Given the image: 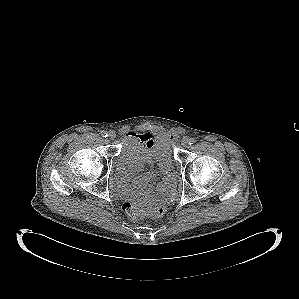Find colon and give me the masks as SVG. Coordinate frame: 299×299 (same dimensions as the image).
I'll list each match as a JSON object with an SVG mask.
<instances>
[{
  "instance_id": "obj_1",
  "label": "colon",
  "mask_w": 299,
  "mask_h": 299,
  "mask_svg": "<svg viewBox=\"0 0 299 299\" xmlns=\"http://www.w3.org/2000/svg\"><path fill=\"white\" fill-rule=\"evenodd\" d=\"M176 199V194L171 193L165 200V202L161 205L148 208L146 210H141L137 208L131 202H125L122 206L123 211L133 219L143 218V217H150V218H160L165 214L166 211V204L173 202Z\"/></svg>"
}]
</instances>
